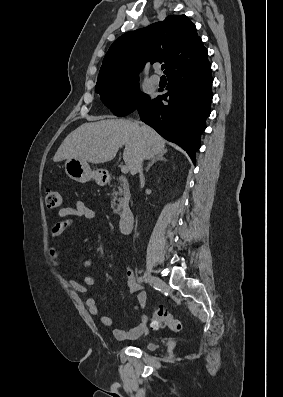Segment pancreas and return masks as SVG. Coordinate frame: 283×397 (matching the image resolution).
I'll use <instances>...</instances> for the list:
<instances>
[{
  "mask_svg": "<svg viewBox=\"0 0 283 397\" xmlns=\"http://www.w3.org/2000/svg\"><path fill=\"white\" fill-rule=\"evenodd\" d=\"M118 180L120 182V187L118 188V191H116L115 189L113 190V195L115 196V199L117 195L120 196V198L118 199L120 205L118 206V209L115 210V213H119L121 205L128 204L130 200V191H129L128 183L126 182V180L123 179L122 176H120Z\"/></svg>",
  "mask_w": 283,
  "mask_h": 397,
  "instance_id": "obj_1",
  "label": "pancreas"
}]
</instances>
